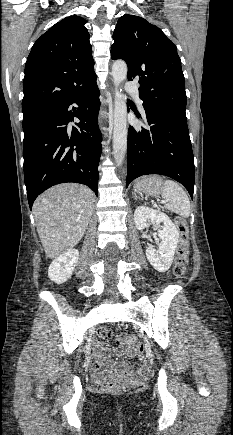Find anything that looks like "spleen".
Listing matches in <instances>:
<instances>
[{"mask_svg": "<svg viewBox=\"0 0 233 435\" xmlns=\"http://www.w3.org/2000/svg\"><path fill=\"white\" fill-rule=\"evenodd\" d=\"M162 197L168 202L169 210L181 217L187 218L190 215V201L183 188L172 180H166L162 191Z\"/></svg>", "mask_w": 233, "mask_h": 435, "instance_id": "spleen-1", "label": "spleen"}]
</instances>
